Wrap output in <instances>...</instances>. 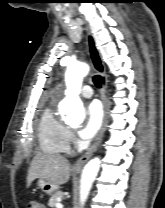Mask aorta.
Returning a JSON list of instances; mask_svg holds the SVG:
<instances>
[{"instance_id":"obj_1","label":"aorta","mask_w":165,"mask_h":208,"mask_svg":"<svg viewBox=\"0 0 165 208\" xmlns=\"http://www.w3.org/2000/svg\"><path fill=\"white\" fill-rule=\"evenodd\" d=\"M89 66L85 63H71L66 72L67 90L65 98L60 102L59 109L67 123L84 119V108L79 98L83 78L88 74ZM100 159H91L84 167L80 181L79 202L83 207L87 201L92 184L100 169Z\"/></svg>"}]
</instances>
